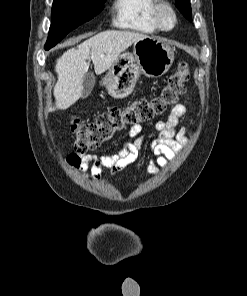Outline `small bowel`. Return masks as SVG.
Returning a JSON list of instances; mask_svg holds the SVG:
<instances>
[{
	"instance_id": "small-bowel-1",
	"label": "small bowel",
	"mask_w": 247,
	"mask_h": 296,
	"mask_svg": "<svg viewBox=\"0 0 247 296\" xmlns=\"http://www.w3.org/2000/svg\"><path fill=\"white\" fill-rule=\"evenodd\" d=\"M187 114L188 106L177 104L170 111L166 121L153 123L157 136L151 142L147 162V171L151 175H156L160 168L169 166L188 142L191 130L187 127L177 129L180 119ZM141 131V125L134 124L130 128L129 139L115 153L81 155L79 170L83 173L88 172L95 181L101 179L103 168H109L111 175L115 176L138 159L146 139Z\"/></svg>"
}]
</instances>
